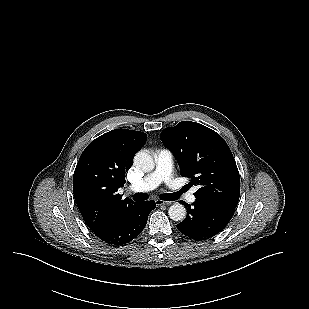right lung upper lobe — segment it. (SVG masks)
I'll return each mask as SVG.
<instances>
[{
	"label": "right lung upper lobe",
	"instance_id": "1",
	"mask_svg": "<svg viewBox=\"0 0 309 309\" xmlns=\"http://www.w3.org/2000/svg\"><path fill=\"white\" fill-rule=\"evenodd\" d=\"M146 140L143 132L115 129L93 140L81 154L73 175V192L81 215L95 234L133 204L117 191Z\"/></svg>",
	"mask_w": 309,
	"mask_h": 309
}]
</instances>
